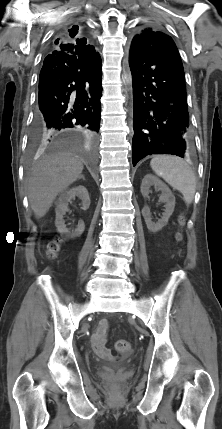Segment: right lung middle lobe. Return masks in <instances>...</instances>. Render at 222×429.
I'll return each mask as SVG.
<instances>
[{
    "label": "right lung middle lobe",
    "instance_id": "right-lung-middle-lobe-1",
    "mask_svg": "<svg viewBox=\"0 0 222 429\" xmlns=\"http://www.w3.org/2000/svg\"><path fill=\"white\" fill-rule=\"evenodd\" d=\"M31 139L36 143V144H41V145H45L46 144V138L42 135V134H32L31 135Z\"/></svg>",
    "mask_w": 222,
    "mask_h": 429
}]
</instances>
